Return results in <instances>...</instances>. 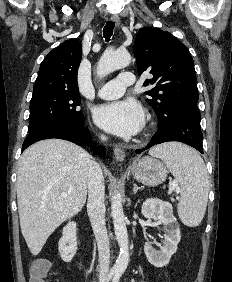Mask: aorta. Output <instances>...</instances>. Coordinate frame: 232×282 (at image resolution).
I'll return each instance as SVG.
<instances>
[{
    "mask_svg": "<svg viewBox=\"0 0 232 282\" xmlns=\"http://www.w3.org/2000/svg\"><path fill=\"white\" fill-rule=\"evenodd\" d=\"M131 55L126 50H108L100 58L97 66V75L104 77L109 73L128 66ZM111 216L113 218L114 231L120 252L113 266L116 274H122L129 263V241L126 228V218L123 211L122 198L118 190L111 197Z\"/></svg>",
    "mask_w": 232,
    "mask_h": 282,
    "instance_id": "aorta-1",
    "label": "aorta"
}]
</instances>
